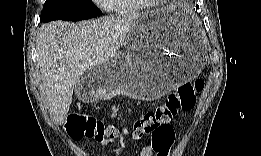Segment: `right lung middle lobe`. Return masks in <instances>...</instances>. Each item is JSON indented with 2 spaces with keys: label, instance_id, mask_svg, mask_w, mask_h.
<instances>
[{
  "label": "right lung middle lobe",
  "instance_id": "1",
  "mask_svg": "<svg viewBox=\"0 0 261 156\" xmlns=\"http://www.w3.org/2000/svg\"><path fill=\"white\" fill-rule=\"evenodd\" d=\"M101 11L90 0H46L41 21H78L99 16Z\"/></svg>",
  "mask_w": 261,
  "mask_h": 156
}]
</instances>
